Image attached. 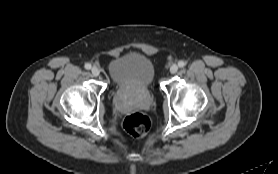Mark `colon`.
Listing matches in <instances>:
<instances>
[{
    "label": "colon",
    "instance_id": "5ec220e1",
    "mask_svg": "<svg viewBox=\"0 0 278 174\" xmlns=\"http://www.w3.org/2000/svg\"><path fill=\"white\" fill-rule=\"evenodd\" d=\"M150 127V118L143 112H133L123 120V128L134 137L144 136Z\"/></svg>",
    "mask_w": 278,
    "mask_h": 174
}]
</instances>
